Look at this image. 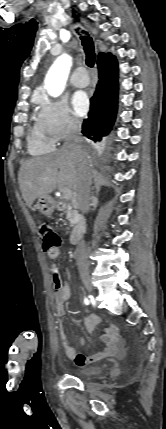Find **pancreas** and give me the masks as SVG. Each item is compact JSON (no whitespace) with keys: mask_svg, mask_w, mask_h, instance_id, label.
<instances>
[{"mask_svg":"<svg viewBox=\"0 0 166 429\" xmlns=\"http://www.w3.org/2000/svg\"><path fill=\"white\" fill-rule=\"evenodd\" d=\"M66 218L70 221L72 227L75 226V212L72 209H68Z\"/></svg>","mask_w":166,"mask_h":429,"instance_id":"obj_1","label":"pancreas"}]
</instances>
